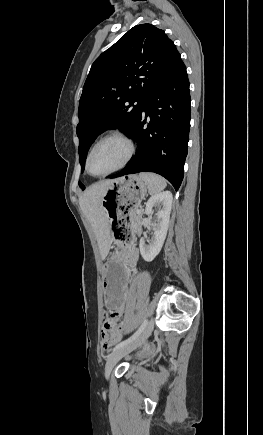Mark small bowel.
<instances>
[{
    "instance_id": "c3829d8e",
    "label": "small bowel",
    "mask_w": 263,
    "mask_h": 435,
    "mask_svg": "<svg viewBox=\"0 0 263 435\" xmlns=\"http://www.w3.org/2000/svg\"><path fill=\"white\" fill-rule=\"evenodd\" d=\"M113 258H126L131 264L130 270L131 274L135 273L137 270V262L139 259V252L135 246L127 247L115 254ZM125 310V305H119L118 310H111V318L106 320L104 323V336L103 341H100V350H105L107 355H112L114 350L117 348V343L122 338L121 329H118V320L123 315Z\"/></svg>"
}]
</instances>
